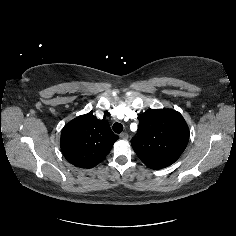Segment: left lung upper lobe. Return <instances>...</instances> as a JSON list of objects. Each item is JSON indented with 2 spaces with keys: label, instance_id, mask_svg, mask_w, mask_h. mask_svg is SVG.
<instances>
[{
  "label": "left lung upper lobe",
  "instance_id": "5c2ea615",
  "mask_svg": "<svg viewBox=\"0 0 236 236\" xmlns=\"http://www.w3.org/2000/svg\"><path fill=\"white\" fill-rule=\"evenodd\" d=\"M188 140L189 129L182 115L171 109H157L140 116L137 136L131 144L146 166L161 169L180 157Z\"/></svg>",
  "mask_w": 236,
  "mask_h": 236
}]
</instances>
